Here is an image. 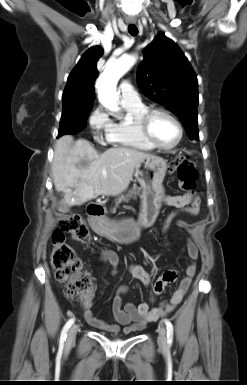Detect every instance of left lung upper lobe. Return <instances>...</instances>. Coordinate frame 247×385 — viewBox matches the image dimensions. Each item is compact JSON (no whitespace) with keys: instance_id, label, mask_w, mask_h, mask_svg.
Masks as SVG:
<instances>
[{"instance_id":"1","label":"left lung upper lobe","mask_w":247,"mask_h":385,"mask_svg":"<svg viewBox=\"0 0 247 385\" xmlns=\"http://www.w3.org/2000/svg\"><path fill=\"white\" fill-rule=\"evenodd\" d=\"M137 72L141 91L171 110L184 125L189 139L197 140L198 82L180 48L163 33L144 50Z\"/></svg>"}]
</instances>
